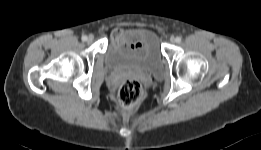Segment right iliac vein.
Here are the masks:
<instances>
[{"label": "right iliac vein", "instance_id": "63e3f726", "mask_svg": "<svg viewBox=\"0 0 261 150\" xmlns=\"http://www.w3.org/2000/svg\"><path fill=\"white\" fill-rule=\"evenodd\" d=\"M94 40V37H93V35H90L89 37H88V39H87V41L90 43V42H92Z\"/></svg>", "mask_w": 261, "mask_h": 150}]
</instances>
